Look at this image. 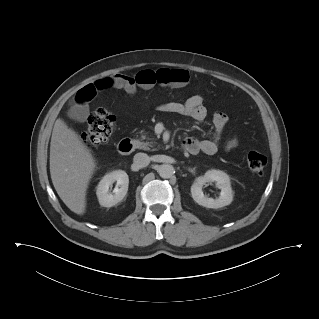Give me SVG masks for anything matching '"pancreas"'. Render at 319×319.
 <instances>
[{
  "label": "pancreas",
  "instance_id": "cf45deb5",
  "mask_svg": "<svg viewBox=\"0 0 319 319\" xmlns=\"http://www.w3.org/2000/svg\"><path fill=\"white\" fill-rule=\"evenodd\" d=\"M151 140V141H143V140ZM156 142L152 141V139L147 138L146 135H141V140L136 141V147L138 149H142L145 151H155L157 148H154Z\"/></svg>",
  "mask_w": 319,
  "mask_h": 319
}]
</instances>
